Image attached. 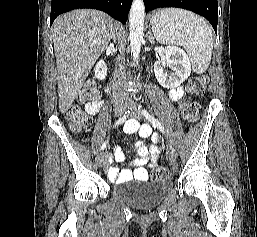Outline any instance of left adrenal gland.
Masks as SVG:
<instances>
[{"mask_svg": "<svg viewBox=\"0 0 257 237\" xmlns=\"http://www.w3.org/2000/svg\"><path fill=\"white\" fill-rule=\"evenodd\" d=\"M147 40H148L151 44L154 43V37L152 36L151 29H149V31H148Z\"/></svg>", "mask_w": 257, "mask_h": 237, "instance_id": "a2214340", "label": "left adrenal gland"}]
</instances>
